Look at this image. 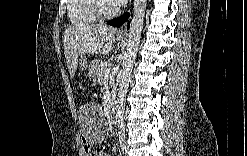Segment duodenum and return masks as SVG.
Instances as JSON below:
<instances>
[{"label": "duodenum", "mask_w": 247, "mask_h": 156, "mask_svg": "<svg viewBox=\"0 0 247 156\" xmlns=\"http://www.w3.org/2000/svg\"><path fill=\"white\" fill-rule=\"evenodd\" d=\"M117 115V108L115 105V98L111 96L109 99V117L112 121H115Z\"/></svg>", "instance_id": "duodenum-1"}]
</instances>
